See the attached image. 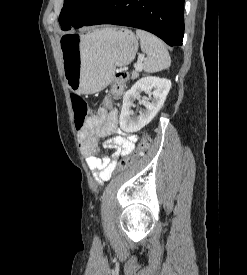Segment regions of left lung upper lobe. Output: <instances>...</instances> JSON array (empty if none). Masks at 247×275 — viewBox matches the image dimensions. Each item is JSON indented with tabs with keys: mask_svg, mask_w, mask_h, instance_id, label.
<instances>
[{
	"mask_svg": "<svg viewBox=\"0 0 247 275\" xmlns=\"http://www.w3.org/2000/svg\"><path fill=\"white\" fill-rule=\"evenodd\" d=\"M106 0H64L59 22L62 30L83 26Z\"/></svg>",
	"mask_w": 247,
	"mask_h": 275,
	"instance_id": "5c2ea615",
	"label": "left lung upper lobe"
}]
</instances>
